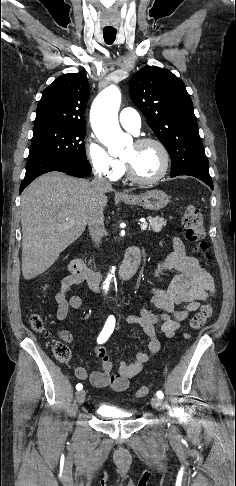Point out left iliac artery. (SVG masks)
Instances as JSON below:
<instances>
[{
  "instance_id": "44dca946",
  "label": "left iliac artery",
  "mask_w": 236,
  "mask_h": 486,
  "mask_svg": "<svg viewBox=\"0 0 236 486\" xmlns=\"http://www.w3.org/2000/svg\"><path fill=\"white\" fill-rule=\"evenodd\" d=\"M156 395H157V397H158V398H160V399H162V398L164 397V394H163V392H162V391H157Z\"/></svg>"
}]
</instances>
